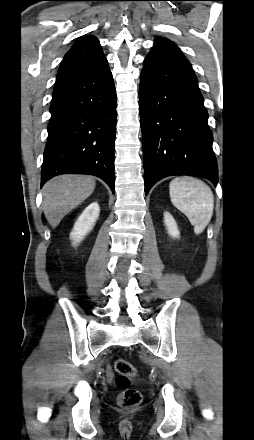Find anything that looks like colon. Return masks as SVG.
<instances>
[{"instance_id": "5ec220e1", "label": "colon", "mask_w": 254, "mask_h": 440, "mask_svg": "<svg viewBox=\"0 0 254 440\" xmlns=\"http://www.w3.org/2000/svg\"><path fill=\"white\" fill-rule=\"evenodd\" d=\"M116 372L115 384L122 389L118 397V404L124 409H131L139 406L142 402V395L139 390L131 388V379L136 375L135 367L125 359H118L114 363Z\"/></svg>"}]
</instances>
